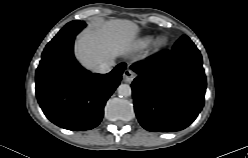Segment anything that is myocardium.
<instances>
[{"instance_id": "obj_1", "label": "myocardium", "mask_w": 248, "mask_h": 158, "mask_svg": "<svg viewBox=\"0 0 248 158\" xmlns=\"http://www.w3.org/2000/svg\"><path fill=\"white\" fill-rule=\"evenodd\" d=\"M163 43H164V40H163L162 38H158V39L156 40V45H157V46H161Z\"/></svg>"}]
</instances>
